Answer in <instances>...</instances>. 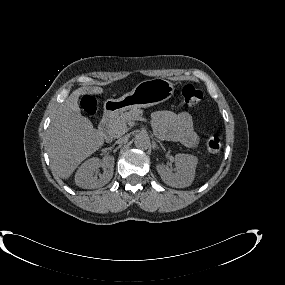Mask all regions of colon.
<instances>
[{"instance_id":"colon-1","label":"colon","mask_w":285,"mask_h":285,"mask_svg":"<svg viewBox=\"0 0 285 285\" xmlns=\"http://www.w3.org/2000/svg\"><path fill=\"white\" fill-rule=\"evenodd\" d=\"M182 98L185 104L194 106L202 100L203 94L193 85H186L182 89ZM81 103L87 113L94 114L95 101L91 96H84ZM221 145V139L218 136H212L206 141V149L212 154L218 153L221 149Z\"/></svg>"}]
</instances>
